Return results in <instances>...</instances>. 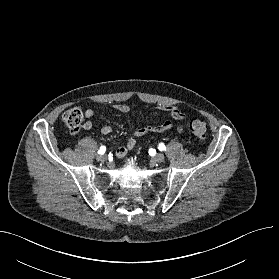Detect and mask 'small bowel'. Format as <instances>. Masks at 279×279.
<instances>
[{"label":"small bowel","mask_w":279,"mask_h":279,"mask_svg":"<svg viewBox=\"0 0 279 279\" xmlns=\"http://www.w3.org/2000/svg\"><path fill=\"white\" fill-rule=\"evenodd\" d=\"M156 108H157V110H159L161 112L168 113L175 120H184L186 118L185 111L177 105H159ZM115 110H117L120 113H128L130 108L126 104H118L115 106ZM93 115H94V111L92 109L86 110V112H85L86 121L83 124V128L85 130H91L93 128V122L90 120ZM171 127H172V122L167 120L158 125L135 128L132 131L126 144L123 146H120L116 149L115 156L117 158L125 157L129 151L134 149V147L136 145L137 137H142L149 133L165 132V131L171 129ZM112 131H113V129L110 125L105 124L101 127V132L104 135H109L112 133ZM178 131L180 133H182L184 131V126L183 125L179 126Z\"/></svg>","instance_id":"c3829d8e"}]
</instances>
